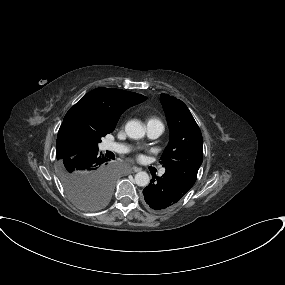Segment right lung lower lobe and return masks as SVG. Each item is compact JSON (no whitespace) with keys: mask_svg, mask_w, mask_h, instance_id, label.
<instances>
[{"mask_svg":"<svg viewBox=\"0 0 285 285\" xmlns=\"http://www.w3.org/2000/svg\"><path fill=\"white\" fill-rule=\"evenodd\" d=\"M72 160L83 171L88 173L111 172L107 167L109 161L98 153V150H88L75 155Z\"/></svg>","mask_w":285,"mask_h":285,"instance_id":"98d812e1","label":"right lung lower lobe"}]
</instances>
